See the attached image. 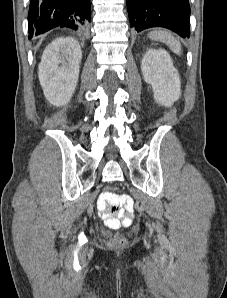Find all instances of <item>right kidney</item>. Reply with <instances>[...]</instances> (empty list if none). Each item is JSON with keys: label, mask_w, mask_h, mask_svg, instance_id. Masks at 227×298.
Here are the masks:
<instances>
[{"label": "right kidney", "mask_w": 227, "mask_h": 298, "mask_svg": "<svg viewBox=\"0 0 227 298\" xmlns=\"http://www.w3.org/2000/svg\"><path fill=\"white\" fill-rule=\"evenodd\" d=\"M82 51L72 37L52 41L44 50L39 65V81L46 99L54 106L69 102L78 77Z\"/></svg>", "instance_id": "obj_1"}]
</instances>
